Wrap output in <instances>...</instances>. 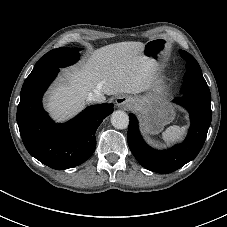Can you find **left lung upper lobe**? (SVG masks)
I'll return each mask as SVG.
<instances>
[{"instance_id":"5c2ea615","label":"left lung upper lobe","mask_w":227,"mask_h":227,"mask_svg":"<svg viewBox=\"0 0 227 227\" xmlns=\"http://www.w3.org/2000/svg\"><path fill=\"white\" fill-rule=\"evenodd\" d=\"M180 54L188 61L186 65L187 71L180 93L182 96L197 97L211 101L210 90L202 75L198 62L192 56L189 57L186 51L180 50Z\"/></svg>"}]
</instances>
